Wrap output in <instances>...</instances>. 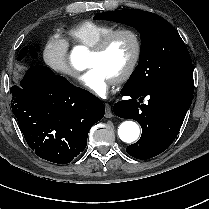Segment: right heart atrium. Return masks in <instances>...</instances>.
<instances>
[{
  "label": "right heart atrium",
  "mask_w": 209,
  "mask_h": 209,
  "mask_svg": "<svg viewBox=\"0 0 209 209\" xmlns=\"http://www.w3.org/2000/svg\"><path fill=\"white\" fill-rule=\"evenodd\" d=\"M68 48L67 40L54 34L45 40L42 56L46 65L55 73L75 79L78 74L69 61Z\"/></svg>",
  "instance_id": "obj_1"
}]
</instances>
